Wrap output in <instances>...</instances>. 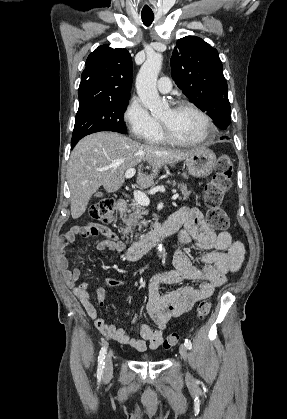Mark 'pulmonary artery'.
Masks as SVG:
<instances>
[{
  "instance_id": "pulmonary-artery-1",
  "label": "pulmonary artery",
  "mask_w": 287,
  "mask_h": 419,
  "mask_svg": "<svg viewBox=\"0 0 287 419\" xmlns=\"http://www.w3.org/2000/svg\"><path fill=\"white\" fill-rule=\"evenodd\" d=\"M171 88H172V83L168 77L163 76L159 79L157 83V89L161 93H168L171 90Z\"/></svg>"
}]
</instances>
